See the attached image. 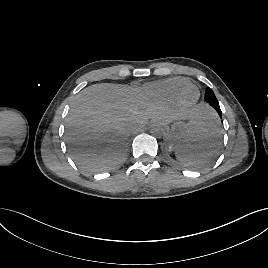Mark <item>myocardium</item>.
Instances as JSON below:
<instances>
[{"mask_svg":"<svg viewBox=\"0 0 268 268\" xmlns=\"http://www.w3.org/2000/svg\"><path fill=\"white\" fill-rule=\"evenodd\" d=\"M193 91L196 92V96L193 99H189V94ZM177 100L181 107L190 108L199 100V91L194 86H189L178 95Z\"/></svg>","mask_w":268,"mask_h":268,"instance_id":"1","label":"myocardium"}]
</instances>
